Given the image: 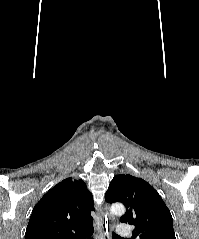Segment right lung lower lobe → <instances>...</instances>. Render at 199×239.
Here are the masks:
<instances>
[{"mask_svg": "<svg viewBox=\"0 0 199 239\" xmlns=\"http://www.w3.org/2000/svg\"><path fill=\"white\" fill-rule=\"evenodd\" d=\"M92 233H93V228L84 232L82 235H80L76 239H86V236H90Z\"/></svg>", "mask_w": 199, "mask_h": 239, "instance_id": "right-lung-lower-lobe-1", "label": "right lung lower lobe"}]
</instances>
